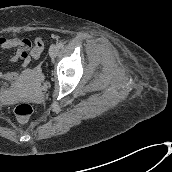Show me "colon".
I'll list each match as a JSON object with an SVG mask.
<instances>
[{
	"label": "colon",
	"instance_id": "colon-1",
	"mask_svg": "<svg viewBox=\"0 0 172 172\" xmlns=\"http://www.w3.org/2000/svg\"><path fill=\"white\" fill-rule=\"evenodd\" d=\"M33 111V107L28 103H19L14 108V114L20 122H26Z\"/></svg>",
	"mask_w": 172,
	"mask_h": 172
}]
</instances>
